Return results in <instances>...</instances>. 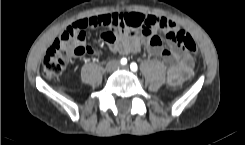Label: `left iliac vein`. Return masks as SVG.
Here are the masks:
<instances>
[{
    "label": "left iliac vein",
    "instance_id": "4c4485c4",
    "mask_svg": "<svg viewBox=\"0 0 245 145\" xmlns=\"http://www.w3.org/2000/svg\"><path fill=\"white\" fill-rule=\"evenodd\" d=\"M122 69L127 70L128 69V66H124V67H122Z\"/></svg>",
    "mask_w": 245,
    "mask_h": 145
}]
</instances>
